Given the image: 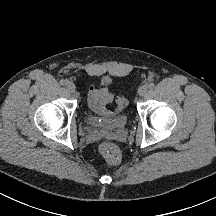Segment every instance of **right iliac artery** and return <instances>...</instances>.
<instances>
[{"instance_id":"right-iliac-artery-1","label":"right iliac artery","mask_w":216,"mask_h":216,"mask_svg":"<svg viewBox=\"0 0 216 216\" xmlns=\"http://www.w3.org/2000/svg\"><path fill=\"white\" fill-rule=\"evenodd\" d=\"M59 83L61 84V85H66V81L64 80V79H61L60 81H59Z\"/></svg>"}]
</instances>
